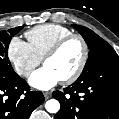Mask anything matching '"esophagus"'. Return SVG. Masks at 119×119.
I'll use <instances>...</instances> for the list:
<instances>
[{
  "instance_id": "1",
  "label": "esophagus",
  "mask_w": 119,
  "mask_h": 119,
  "mask_svg": "<svg viewBox=\"0 0 119 119\" xmlns=\"http://www.w3.org/2000/svg\"><path fill=\"white\" fill-rule=\"evenodd\" d=\"M43 94H44L45 99H49L51 97V92L49 91H46Z\"/></svg>"
}]
</instances>
